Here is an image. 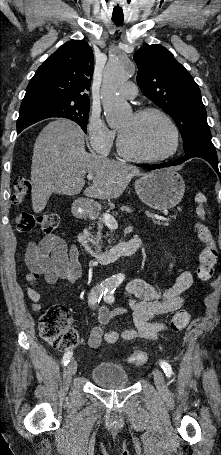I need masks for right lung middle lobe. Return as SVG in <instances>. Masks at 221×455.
Wrapping results in <instances>:
<instances>
[{"mask_svg": "<svg viewBox=\"0 0 221 455\" xmlns=\"http://www.w3.org/2000/svg\"><path fill=\"white\" fill-rule=\"evenodd\" d=\"M88 115L89 102L53 101L23 105L20 107L17 131L19 133L33 123L49 117H63L76 122L86 132Z\"/></svg>", "mask_w": 221, "mask_h": 455, "instance_id": "right-lung-middle-lobe-1", "label": "right lung middle lobe"}]
</instances>
